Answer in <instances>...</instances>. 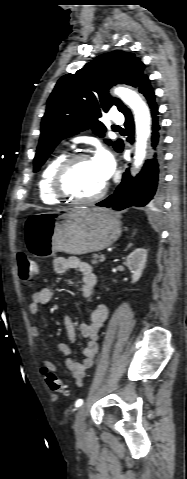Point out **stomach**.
<instances>
[{
    "label": "stomach",
    "instance_id": "stomach-1",
    "mask_svg": "<svg viewBox=\"0 0 187 479\" xmlns=\"http://www.w3.org/2000/svg\"><path fill=\"white\" fill-rule=\"evenodd\" d=\"M120 235V220L106 208L34 213L24 222L27 249L39 258L51 257L56 252L80 255L100 251Z\"/></svg>",
    "mask_w": 187,
    "mask_h": 479
}]
</instances>
